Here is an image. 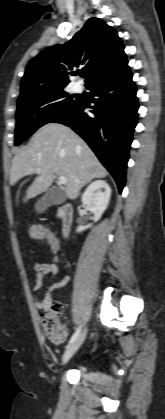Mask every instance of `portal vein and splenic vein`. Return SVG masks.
Listing matches in <instances>:
<instances>
[{"instance_id": "1", "label": "portal vein and splenic vein", "mask_w": 165, "mask_h": 419, "mask_svg": "<svg viewBox=\"0 0 165 419\" xmlns=\"http://www.w3.org/2000/svg\"><path fill=\"white\" fill-rule=\"evenodd\" d=\"M40 168H37V171H40ZM59 184H66L67 183V178L66 177H59Z\"/></svg>"}]
</instances>
